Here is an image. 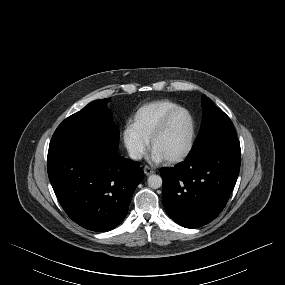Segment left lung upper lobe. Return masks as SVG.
Returning a JSON list of instances; mask_svg holds the SVG:
<instances>
[{
    "instance_id": "5c2ea615",
    "label": "left lung upper lobe",
    "mask_w": 285,
    "mask_h": 285,
    "mask_svg": "<svg viewBox=\"0 0 285 285\" xmlns=\"http://www.w3.org/2000/svg\"><path fill=\"white\" fill-rule=\"evenodd\" d=\"M203 116L201 129L187 158L226 148H240L233 123L206 96L201 98Z\"/></svg>"
}]
</instances>
